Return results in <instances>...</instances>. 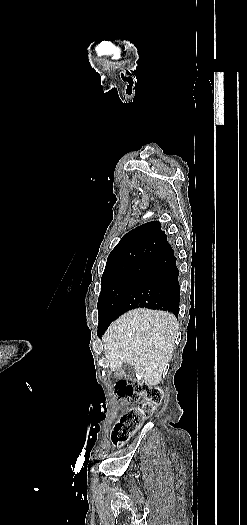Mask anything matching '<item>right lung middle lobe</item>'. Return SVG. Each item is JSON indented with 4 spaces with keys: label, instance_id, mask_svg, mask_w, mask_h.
<instances>
[{
    "label": "right lung middle lobe",
    "instance_id": "1",
    "mask_svg": "<svg viewBox=\"0 0 247 525\" xmlns=\"http://www.w3.org/2000/svg\"><path fill=\"white\" fill-rule=\"evenodd\" d=\"M155 256H149L133 267L118 270L104 271L101 278V292L98 299V326L108 327L116 319L118 308L136 281L142 276L153 262Z\"/></svg>",
    "mask_w": 247,
    "mask_h": 525
}]
</instances>
